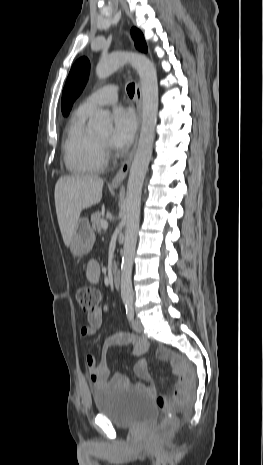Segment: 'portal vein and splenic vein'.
Masks as SVG:
<instances>
[{"label": "portal vein and splenic vein", "instance_id": "1", "mask_svg": "<svg viewBox=\"0 0 263 465\" xmlns=\"http://www.w3.org/2000/svg\"><path fill=\"white\" fill-rule=\"evenodd\" d=\"M101 226H102V228H103L104 230H106V229L108 228V222H107L106 220H103V221L101 222Z\"/></svg>", "mask_w": 263, "mask_h": 465}]
</instances>
